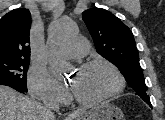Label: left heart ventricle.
I'll use <instances>...</instances> for the list:
<instances>
[{
	"instance_id": "1",
	"label": "left heart ventricle",
	"mask_w": 165,
	"mask_h": 120,
	"mask_svg": "<svg viewBox=\"0 0 165 120\" xmlns=\"http://www.w3.org/2000/svg\"><path fill=\"white\" fill-rule=\"evenodd\" d=\"M116 85L112 71L104 66L79 69L71 78V87L84 99H95L109 93Z\"/></svg>"
}]
</instances>
